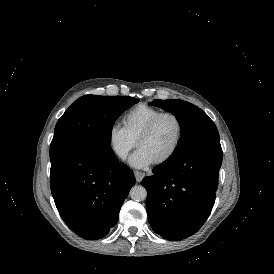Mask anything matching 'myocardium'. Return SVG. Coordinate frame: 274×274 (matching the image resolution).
Instances as JSON below:
<instances>
[{
    "label": "myocardium",
    "mask_w": 274,
    "mask_h": 274,
    "mask_svg": "<svg viewBox=\"0 0 274 274\" xmlns=\"http://www.w3.org/2000/svg\"><path fill=\"white\" fill-rule=\"evenodd\" d=\"M172 117L178 126V130H177V135L174 141V144L171 148V150L169 151V153L164 156L162 159H159L155 162H153V165L155 166H160L163 165L167 162H169L177 153L178 148L180 146L181 140H182V136H183V131H184V126H183V122L181 120V118L172 111H165V112H161L159 113L155 118H153L145 127L143 130H141V132L137 135L136 139H135V145L138 146V143L141 139L147 137L149 134L152 133V131L154 130V128L156 127V125L158 124V122L164 118V117Z\"/></svg>",
    "instance_id": "1"
}]
</instances>
